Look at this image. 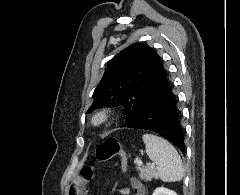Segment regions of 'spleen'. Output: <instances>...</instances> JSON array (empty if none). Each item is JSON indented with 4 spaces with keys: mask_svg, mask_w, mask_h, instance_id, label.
<instances>
[{
    "mask_svg": "<svg viewBox=\"0 0 240 195\" xmlns=\"http://www.w3.org/2000/svg\"><path fill=\"white\" fill-rule=\"evenodd\" d=\"M143 141L147 155L158 167V177L162 181H180L184 175V167L174 145L153 133H144Z\"/></svg>",
    "mask_w": 240,
    "mask_h": 195,
    "instance_id": "obj_1",
    "label": "spleen"
}]
</instances>
